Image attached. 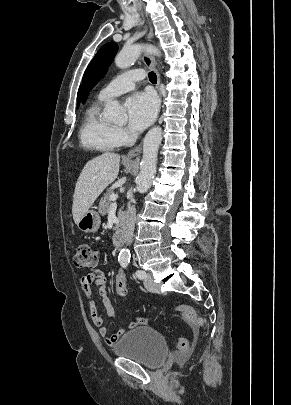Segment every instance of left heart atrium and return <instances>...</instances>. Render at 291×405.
<instances>
[{"label": "left heart atrium", "mask_w": 291, "mask_h": 405, "mask_svg": "<svg viewBox=\"0 0 291 405\" xmlns=\"http://www.w3.org/2000/svg\"><path fill=\"white\" fill-rule=\"evenodd\" d=\"M128 126L134 132H141L154 120L157 101L151 93L141 92L127 101Z\"/></svg>", "instance_id": "39dd6f15"}]
</instances>
